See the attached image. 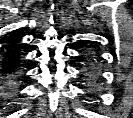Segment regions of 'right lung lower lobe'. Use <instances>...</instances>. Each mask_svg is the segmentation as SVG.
<instances>
[{"mask_svg": "<svg viewBox=\"0 0 133 118\" xmlns=\"http://www.w3.org/2000/svg\"><path fill=\"white\" fill-rule=\"evenodd\" d=\"M4 50L2 49V52ZM19 52L17 46L12 44L7 47V53L4 55L3 64H2V73L11 74L16 72L19 65Z\"/></svg>", "mask_w": 133, "mask_h": 118, "instance_id": "98d812e1", "label": "right lung lower lobe"}]
</instances>
